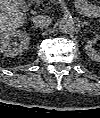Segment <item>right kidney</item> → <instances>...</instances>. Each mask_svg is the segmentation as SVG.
Here are the masks:
<instances>
[{
    "label": "right kidney",
    "instance_id": "right-kidney-1",
    "mask_svg": "<svg viewBox=\"0 0 100 118\" xmlns=\"http://www.w3.org/2000/svg\"><path fill=\"white\" fill-rule=\"evenodd\" d=\"M18 39L20 43L13 42ZM30 37L27 32L11 30L0 35V52L6 57H14L23 53L29 46Z\"/></svg>",
    "mask_w": 100,
    "mask_h": 118
}]
</instances>
